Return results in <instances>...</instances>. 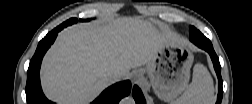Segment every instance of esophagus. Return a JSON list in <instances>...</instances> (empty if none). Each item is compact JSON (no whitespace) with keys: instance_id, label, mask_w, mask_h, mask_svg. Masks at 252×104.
I'll return each mask as SVG.
<instances>
[{"instance_id":"obj_1","label":"esophagus","mask_w":252,"mask_h":104,"mask_svg":"<svg viewBox=\"0 0 252 104\" xmlns=\"http://www.w3.org/2000/svg\"><path fill=\"white\" fill-rule=\"evenodd\" d=\"M142 76V73L140 71H133L130 75V79L131 81H136L138 79H140Z\"/></svg>"}]
</instances>
